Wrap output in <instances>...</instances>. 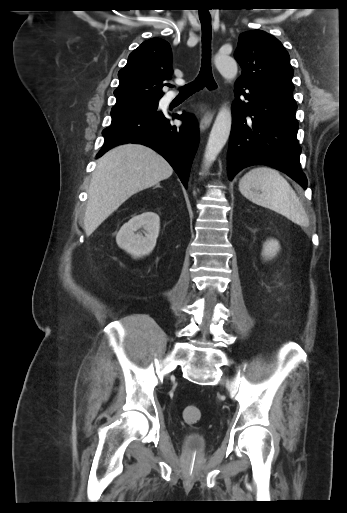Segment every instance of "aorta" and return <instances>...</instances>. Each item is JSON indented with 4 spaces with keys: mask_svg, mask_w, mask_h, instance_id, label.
Segmentation results:
<instances>
[{
    "mask_svg": "<svg viewBox=\"0 0 347 513\" xmlns=\"http://www.w3.org/2000/svg\"><path fill=\"white\" fill-rule=\"evenodd\" d=\"M215 66L223 78L231 82L237 76L238 67L235 59L222 53L214 58ZM232 114L228 106L224 105L219 110L212 126L204 154V169L207 171L215 161L217 155L225 146L231 131Z\"/></svg>",
    "mask_w": 347,
    "mask_h": 513,
    "instance_id": "aorta-1",
    "label": "aorta"
}]
</instances>
